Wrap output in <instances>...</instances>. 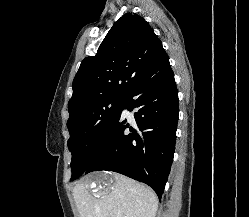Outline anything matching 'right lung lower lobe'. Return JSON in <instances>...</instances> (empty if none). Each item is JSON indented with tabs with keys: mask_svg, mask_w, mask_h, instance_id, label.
<instances>
[{
	"mask_svg": "<svg viewBox=\"0 0 249 217\" xmlns=\"http://www.w3.org/2000/svg\"><path fill=\"white\" fill-rule=\"evenodd\" d=\"M123 109H135V121L123 119ZM178 112L174 74L164 53L125 96L119 116L87 156L83 174L112 170L146 183L161 199L175 150Z\"/></svg>",
	"mask_w": 249,
	"mask_h": 217,
	"instance_id": "1",
	"label": "right lung lower lobe"
}]
</instances>
